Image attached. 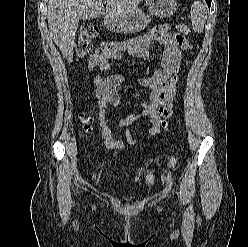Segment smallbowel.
Segmentation results:
<instances>
[{"label": "small bowel", "instance_id": "small-bowel-1", "mask_svg": "<svg viewBox=\"0 0 248 247\" xmlns=\"http://www.w3.org/2000/svg\"><path fill=\"white\" fill-rule=\"evenodd\" d=\"M154 44L162 47L160 64L161 68L151 74L135 79V82L148 88L150 95L147 101L141 105L144 108L140 112L131 113L117 120L120 127L124 128L127 138L132 142L129 127L141 118L147 117L152 124L150 135L160 134L166 127L163 119L173 115V99L179 80L178 73L181 63V52L191 48L190 43L179 34H166L161 38H154L151 34L131 40L123 49L128 55L149 60L150 48ZM122 50L112 52L99 64V74L95 76L93 83L96 88V96L99 102L98 117L105 146L108 149L119 150L123 143L112 136L108 120L112 116L108 114L107 107L121 105L120 87L126 81L122 73H114L104 76L110 69V61H120ZM175 165V159L169 160V167Z\"/></svg>", "mask_w": 248, "mask_h": 247}]
</instances>
